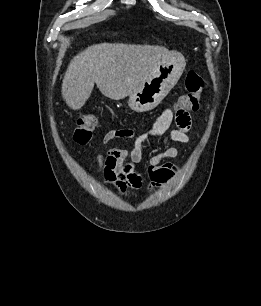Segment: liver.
I'll list each match as a JSON object with an SVG mask.
<instances>
[{
  "label": "liver",
  "instance_id": "liver-1",
  "mask_svg": "<svg viewBox=\"0 0 261 306\" xmlns=\"http://www.w3.org/2000/svg\"><path fill=\"white\" fill-rule=\"evenodd\" d=\"M170 54L167 48L150 45L100 43L89 46L70 62L62 81V96L79 110L96 83L100 92L113 100L133 93L150 70Z\"/></svg>",
  "mask_w": 261,
  "mask_h": 306
}]
</instances>
